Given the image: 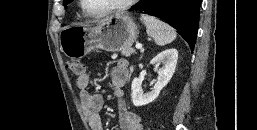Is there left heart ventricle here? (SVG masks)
<instances>
[{
	"label": "left heart ventricle",
	"mask_w": 257,
	"mask_h": 130,
	"mask_svg": "<svg viewBox=\"0 0 257 130\" xmlns=\"http://www.w3.org/2000/svg\"><path fill=\"white\" fill-rule=\"evenodd\" d=\"M123 0H84L85 7L93 13L102 12Z\"/></svg>",
	"instance_id": "1"
}]
</instances>
